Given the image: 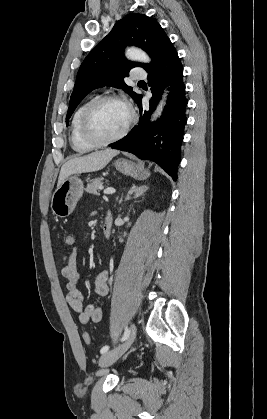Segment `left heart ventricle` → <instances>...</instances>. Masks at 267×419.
Here are the masks:
<instances>
[{"mask_svg": "<svg viewBox=\"0 0 267 419\" xmlns=\"http://www.w3.org/2000/svg\"><path fill=\"white\" fill-rule=\"evenodd\" d=\"M129 118L127 107L121 102L109 101L98 105L90 116V130L101 139L118 134Z\"/></svg>", "mask_w": 267, "mask_h": 419, "instance_id": "obj_1", "label": "left heart ventricle"}]
</instances>
